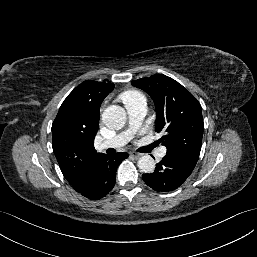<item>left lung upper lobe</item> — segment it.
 <instances>
[{
    "instance_id": "1",
    "label": "left lung upper lobe",
    "mask_w": 257,
    "mask_h": 257,
    "mask_svg": "<svg viewBox=\"0 0 257 257\" xmlns=\"http://www.w3.org/2000/svg\"><path fill=\"white\" fill-rule=\"evenodd\" d=\"M147 92L156 107V131L166 132L161 138L167 155L196 165L204 130L200 103L181 84L163 74L131 82Z\"/></svg>"
}]
</instances>
